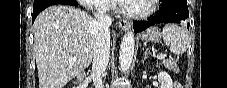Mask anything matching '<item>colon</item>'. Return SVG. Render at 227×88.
<instances>
[{
    "mask_svg": "<svg viewBox=\"0 0 227 88\" xmlns=\"http://www.w3.org/2000/svg\"><path fill=\"white\" fill-rule=\"evenodd\" d=\"M174 88H181V86H180L178 83H176V84L174 85Z\"/></svg>",
    "mask_w": 227,
    "mask_h": 88,
    "instance_id": "obj_1",
    "label": "colon"
}]
</instances>
